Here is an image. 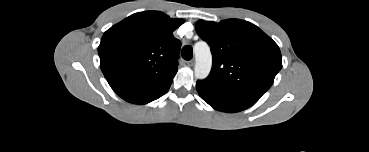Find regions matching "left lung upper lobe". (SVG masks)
<instances>
[{"instance_id":"5c2ea615","label":"left lung upper lobe","mask_w":369,"mask_h":152,"mask_svg":"<svg viewBox=\"0 0 369 152\" xmlns=\"http://www.w3.org/2000/svg\"><path fill=\"white\" fill-rule=\"evenodd\" d=\"M196 31L211 48L212 69L204 80L211 85L260 98L282 68L278 45L250 22L199 20Z\"/></svg>"}]
</instances>
